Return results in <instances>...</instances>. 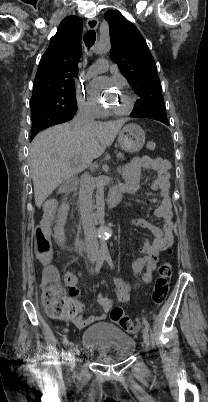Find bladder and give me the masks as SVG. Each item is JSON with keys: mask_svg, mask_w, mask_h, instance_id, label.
<instances>
[{"mask_svg": "<svg viewBox=\"0 0 208 402\" xmlns=\"http://www.w3.org/2000/svg\"><path fill=\"white\" fill-rule=\"evenodd\" d=\"M83 348L98 360L119 363L133 353L135 340L121 328L108 323H97L83 332Z\"/></svg>", "mask_w": 208, "mask_h": 402, "instance_id": "31cf9c89", "label": "bladder"}]
</instances>
